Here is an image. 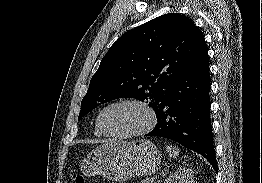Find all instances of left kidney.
Listing matches in <instances>:
<instances>
[{
  "label": "left kidney",
  "instance_id": "obj_1",
  "mask_svg": "<svg viewBox=\"0 0 262 183\" xmlns=\"http://www.w3.org/2000/svg\"><path fill=\"white\" fill-rule=\"evenodd\" d=\"M164 183H194L193 172L187 167L179 168L171 173Z\"/></svg>",
  "mask_w": 262,
  "mask_h": 183
}]
</instances>
